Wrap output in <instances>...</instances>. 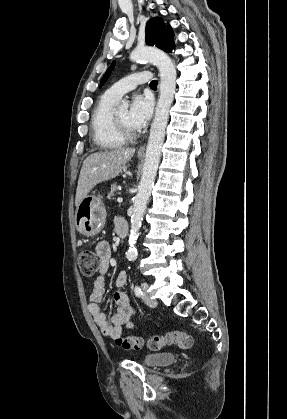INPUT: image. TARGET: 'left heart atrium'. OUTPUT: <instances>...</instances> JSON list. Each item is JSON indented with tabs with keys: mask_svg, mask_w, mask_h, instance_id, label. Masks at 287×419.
Masks as SVG:
<instances>
[{
	"mask_svg": "<svg viewBox=\"0 0 287 419\" xmlns=\"http://www.w3.org/2000/svg\"><path fill=\"white\" fill-rule=\"evenodd\" d=\"M153 111V100L149 95L137 94L133 97L129 109V125L133 130L143 129Z\"/></svg>",
	"mask_w": 287,
	"mask_h": 419,
	"instance_id": "obj_1",
	"label": "left heart atrium"
}]
</instances>
